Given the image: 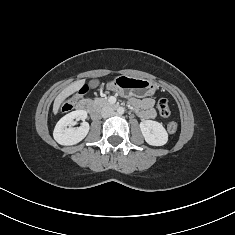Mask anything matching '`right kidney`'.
<instances>
[{
	"label": "right kidney",
	"instance_id": "obj_1",
	"mask_svg": "<svg viewBox=\"0 0 235 235\" xmlns=\"http://www.w3.org/2000/svg\"><path fill=\"white\" fill-rule=\"evenodd\" d=\"M87 112L76 110L62 117L55 126L53 137L61 145H74L82 141L89 132V124L85 122ZM74 119L82 120L80 127H70ZM69 126V127H68Z\"/></svg>",
	"mask_w": 235,
	"mask_h": 235
}]
</instances>
